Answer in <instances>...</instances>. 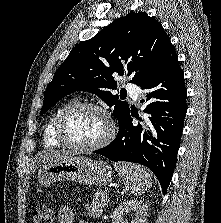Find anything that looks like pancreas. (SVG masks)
Here are the masks:
<instances>
[{"label": "pancreas", "mask_w": 221, "mask_h": 223, "mask_svg": "<svg viewBox=\"0 0 221 223\" xmlns=\"http://www.w3.org/2000/svg\"><path fill=\"white\" fill-rule=\"evenodd\" d=\"M108 201V195H101V197L92 200L91 204L85 205V208L90 216L99 218L102 215L104 208L107 206Z\"/></svg>", "instance_id": "pancreas-1"}]
</instances>
